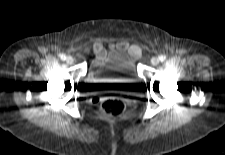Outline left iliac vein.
Listing matches in <instances>:
<instances>
[{"mask_svg":"<svg viewBox=\"0 0 225 155\" xmlns=\"http://www.w3.org/2000/svg\"><path fill=\"white\" fill-rule=\"evenodd\" d=\"M151 63L153 65H157L159 63V59L157 57H154V58L151 59Z\"/></svg>","mask_w":225,"mask_h":155,"instance_id":"obj_1","label":"left iliac vein"}]
</instances>
